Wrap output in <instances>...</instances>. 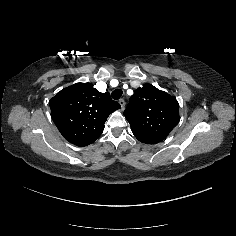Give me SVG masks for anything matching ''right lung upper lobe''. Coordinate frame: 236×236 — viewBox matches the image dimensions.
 Wrapping results in <instances>:
<instances>
[{"instance_id":"cb5924a9","label":"right lung upper lobe","mask_w":236,"mask_h":236,"mask_svg":"<svg viewBox=\"0 0 236 236\" xmlns=\"http://www.w3.org/2000/svg\"><path fill=\"white\" fill-rule=\"evenodd\" d=\"M120 108L109 93L91 83H76L50 100L51 115L63 137L76 146L93 143L103 132L109 114Z\"/></svg>"}]
</instances>
